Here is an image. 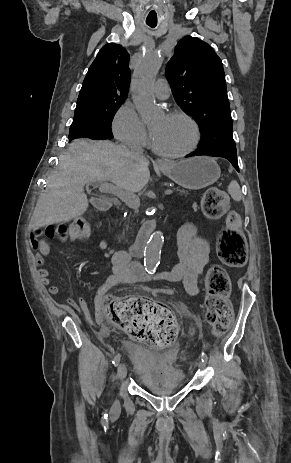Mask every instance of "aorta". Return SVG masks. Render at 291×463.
I'll list each match as a JSON object with an SVG mask.
<instances>
[{
    "mask_svg": "<svg viewBox=\"0 0 291 463\" xmlns=\"http://www.w3.org/2000/svg\"><path fill=\"white\" fill-rule=\"evenodd\" d=\"M162 61L157 51H148L134 72L131 85L132 99L138 113L143 119L151 118L156 113L153 87ZM163 242V234L160 231H156L151 235L147 243L144 254V266L149 273L155 271L160 263Z\"/></svg>",
    "mask_w": 291,
    "mask_h": 463,
    "instance_id": "1",
    "label": "aorta"
}]
</instances>
